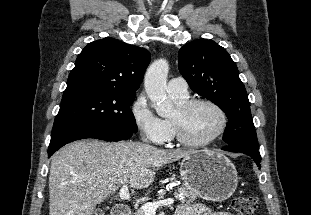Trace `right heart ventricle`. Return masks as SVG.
I'll return each instance as SVG.
<instances>
[{
  "instance_id": "e07e8e85",
  "label": "right heart ventricle",
  "mask_w": 311,
  "mask_h": 215,
  "mask_svg": "<svg viewBox=\"0 0 311 215\" xmlns=\"http://www.w3.org/2000/svg\"><path fill=\"white\" fill-rule=\"evenodd\" d=\"M170 96H171L172 100H173L177 105H179V104H181V103H183V102H185L186 100L189 99V95H186V96H179V95L170 94ZM166 121L169 123V125H170V127H171V130H172V137H173L174 134H175L174 127H173V125H172V123H171L170 120H166ZM172 137H171V138H172Z\"/></svg>"
}]
</instances>
